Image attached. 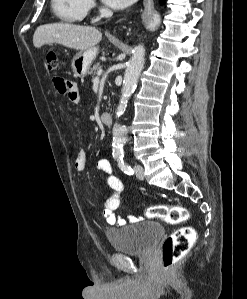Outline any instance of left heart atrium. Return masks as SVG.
Wrapping results in <instances>:
<instances>
[{
	"mask_svg": "<svg viewBox=\"0 0 247 299\" xmlns=\"http://www.w3.org/2000/svg\"><path fill=\"white\" fill-rule=\"evenodd\" d=\"M107 6L114 9H121L128 6L134 0H102Z\"/></svg>",
	"mask_w": 247,
	"mask_h": 299,
	"instance_id": "1",
	"label": "left heart atrium"
}]
</instances>
